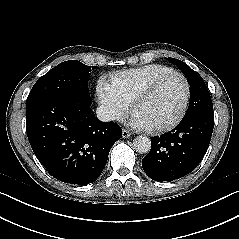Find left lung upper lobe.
I'll use <instances>...</instances> for the list:
<instances>
[{"mask_svg":"<svg viewBox=\"0 0 239 239\" xmlns=\"http://www.w3.org/2000/svg\"><path fill=\"white\" fill-rule=\"evenodd\" d=\"M168 60L184 73L190 85V103L184 117H189L200 112H213V104L203 78L183 61L168 58Z\"/></svg>","mask_w":239,"mask_h":239,"instance_id":"left-lung-upper-lobe-1","label":"left lung upper lobe"}]
</instances>
